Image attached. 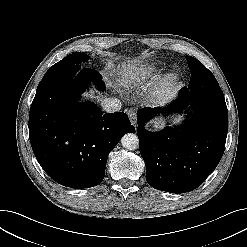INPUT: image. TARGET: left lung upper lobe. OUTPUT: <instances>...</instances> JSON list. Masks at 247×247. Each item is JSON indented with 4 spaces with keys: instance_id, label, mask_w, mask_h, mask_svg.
I'll use <instances>...</instances> for the list:
<instances>
[{
    "instance_id": "obj_1",
    "label": "left lung upper lobe",
    "mask_w": 247,
    "mask_h": 247,
    "mask_svg": "<svg viewBox=\"0 0 247 247\" xmlns=\"http://www.w3.org/2000/svg\"><path fill=\"white\" fill-rule=\"evenodd\" d=\"M186 60L188 62V65L191 70V78L190 80L194 79L195 77L199 76L205 67L202 65L200 61H198L196 58L191 56H186Z\"/></svg>"
}]
</instances>
